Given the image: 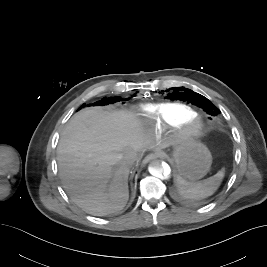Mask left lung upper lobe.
<instances>
[{
	"mask_svg": "<svg viewBox=\"0 0 267 267\" xmlns=\"http://www.w3.org/2000/svg\"><path fill=\"white\" fill-rule=\"evenodd\" d=\"M168 98L172 102H179L181 100L189 103L191 102L192 104L202 108L211 116H216L220 113V110L210 100L187 88H170L168 91Z\"/></svg>",
	"mask_w": 267,
	"mask_h": 267,
	"instance_id": "obj_1",
	"label": "left lung upper lobe"
}]
</instances>
